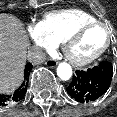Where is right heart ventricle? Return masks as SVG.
I'll return each instance as SVG.
<instances>
[{
	"instance_id": "e07e8e85",
	"label": "right heart ventricle",
	"mask_w": 117,
	"mask_h": 117,
	"mask_svg": "<svg viewBox=\"0 0 117 117\" xmlns=\"http://www.w3.org/2000/svg\"><path fill=\"white\" fill-rule=\"evenodd\" d=\"M91 21H97L92 14L80 9H68L46 14L41 23L53 40L61 43L77 27Z\"/></svg>"
}]
</instances>
